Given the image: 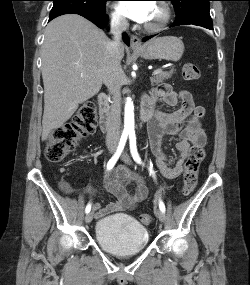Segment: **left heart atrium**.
Returning a JSON list of instances; mask_svg holds the SVG:
<instances>
[{
	"instance_id": "1",
	"label": "left heart atrium",
	"mask_w": 250,
	"mask_h": 285,
	"mask_svg": "<svg viewBox=\"0 0 250 285\" xmlns=\"http://www.w3.org/2000/svg\"><path fill=\"white\" fill-rule=\"evenodd\" d=\"M122 12L138 23H146L154 4L151 1H127L120 4Z\"/></svg>"
}]
</instances>
